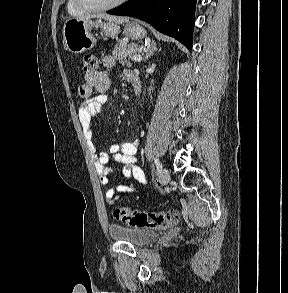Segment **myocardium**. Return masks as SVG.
<instances>
[{
  "mask_svg": "<svg viewBox=\"0 0 288 293\" xmlns=\"http://www.w3.org/2000/svg\"><path fill=\"white\" fill-rule=\"evenodd\" d=\"M126 1L127 0H116V1H114L112 3H108V4L93 5V4L86 2L85 0H74L76 6L85 12L110 10V9H113V8H116L120 5H122Z\"/></svg>",
  "mask_w": 288,
  "mask_h": 293,
  "instance_id": "f54148a6",
  "label": "myocardium"
}]
</instances>
